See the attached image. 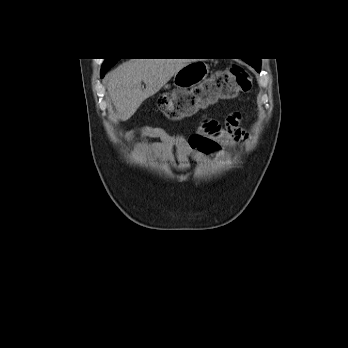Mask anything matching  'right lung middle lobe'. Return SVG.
I'll use <instances>...</instances> for the list:
<instances>
[{"mask_svg": "<svg viewBox=\"0 0 348 348\" xmlns=\"http://www.w3.org/2000/svg\"><path fill=\"white\" fill-rule=\"evenodd\" d=\"M118 59H106L103 63L102 69H110Z\"/></svg>", "mask_w": 348, "mask_h": 348, "instance_id": "obj_1", "label": "right lung middle lobe"}]
</instances>
